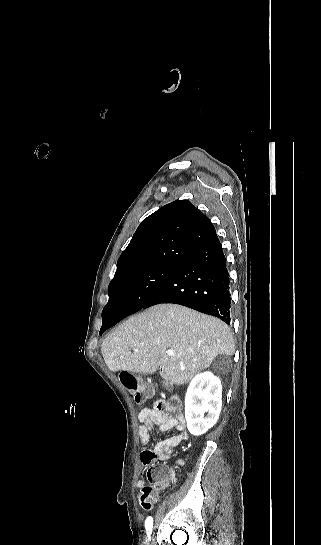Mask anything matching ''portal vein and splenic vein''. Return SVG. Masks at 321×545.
Masks as SVG:
<instances>
[{
	"label": "portal vein and splenic vein",
	"instance_id": "1",
	"mask_svg": "<svg viewBox=\"0 0 321 545\" xmlns=\"http://www.w3.org/2000/svg\"><path fill=\"white\" fill-rule=\"evenodd\" d=\"M166 353H167L168 357H172V355H173V351H166Z\"/></svg>",
	"mask_w": 321,
	"mask_h": 545
}]
</instances>
